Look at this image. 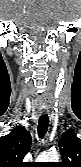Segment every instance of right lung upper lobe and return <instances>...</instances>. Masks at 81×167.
<instances>
[{
	"instance_id": "cb5924a9",
	"label": "right lung upper lobe",
	"mask_w": 81,
	"mask_h": 167,
	"mask_svg": "<svg viewBox=\"0 0 81 167\" xmlns=\"http://www.w3.org/2000/svg\"><path fill=\"white\" fill-rule=\"evenodd\" d=\"M30 133L22 126L0 137V167H27L22 162L31 147Z\"/></svg>"
}]
</instances>
